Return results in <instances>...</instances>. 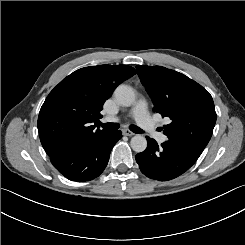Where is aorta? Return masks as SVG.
I'll return each mask as SVG.
<instances>
[{"instance_id": "1", "label": "aorta", "mask_w": 245, "mask_h": 245, "mask_svg": "<svg viewBox=\"0 0 245 245\" xmlns=\"http://www.w3.org/2000/svg\"><path fill=\"white\" fill-rule=\"evenodd\" d=\"M115 99L121 106H131L135 101V93L128 85H119L114 91ZM131 147L137 152H143L147 148V140L142 135H135L131 138Z\"/></svg>"}]
</instances>
